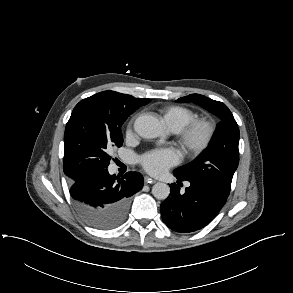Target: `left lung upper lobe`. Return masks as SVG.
I'll return each mask as SVG.
<instances>
[{
    "mask_svg": "<svg viewBox=\"0 0 293 293\" xmlns=\"http://www.w3.org/2000/svg\"><path fill=\"white\" fill-rule=\"evenodd\" d=\"M180 103H195L216 115L220 122L209 146L191 163L174 170L181 177L209 181L230 191L239 163V129L228 107L200 94L179 98Z\"/></svg>",
    "mask_w": 293,
    "mask_h": 293,
    "instance_id": "obj_1",
    "label": "left lung upper lobe"
}]
</instances>
